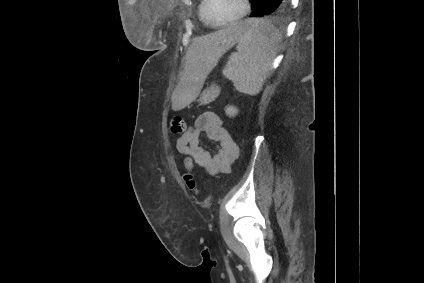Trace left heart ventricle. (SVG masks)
Instances as JSON below:
<instances>
[{
  "mask_svg": "<svg viewBox=\"0 0 424 283\" xmlns=\"http://www.w3.org/2000/svg\"><path fill=\"white\" fill-rule=\"evenodd\" d=\"M242 10V0H210L208 19L217 24L237 16Z\"/></svg>",
  "mask_w": 424,
  "mask_h": 283,
  "instance_id": "b2bd125f",
  "label": "left heart ventricle"
}]
</instances>
